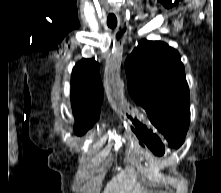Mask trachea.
I'll list each match as a JSON object with an SVG mask.
<instances>
[{
    "instance_id": "obj_1",
    "label": "trachea",
    "mask_w": 221,
    "mask_h": 193,
    "mask_svg": "<svg viewBox=\"0 0 221 193\" xmlns=\"http://www.w3.org/2000/svg\"><path fill=\"white\" fill-rule=\"evenodd\" d=\"M107 25L111 29L115 28L117 26V18L114 14H109L107 18Z\"/></svg>"
}]
</instances>
